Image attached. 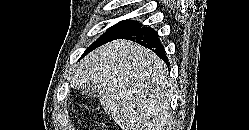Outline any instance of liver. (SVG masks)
I'll list each match as a JSON object with an SVG mask.
<instances>
[{"instance_id":"6515ba94","label":"liver","mask_w":249,"mask_h":130,"mask_svg":"<svg viewBox=\"0 0 249 130\" xmlns=\"http://www.w3.org/2000/svg\"><path fill=\"white\" fill-rule=\"evenodd\" d=\"M71 86L97 84L100 103L122 130H165L172 86L164 62L151 50L115 40L89 53L71 76Z\"/></svg>"}]
</instances>
